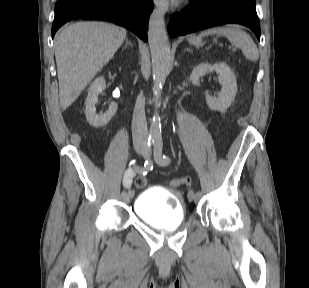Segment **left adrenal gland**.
<instances>
[{"label": "left adrenal gland", "instance_id": "1", "mask_svg": "<svg viewBox=\"0 0 309 288\" xmlns=\"http://www.w3.org/2000/svg\"><path fill=\"white\" fill-rule=\"evenodd\" d=\"M185 51H189L190 53H192V50L189 48H186Z\"/></svg>", "mask_w": 309, "mask_h": 288}]
</instances>
